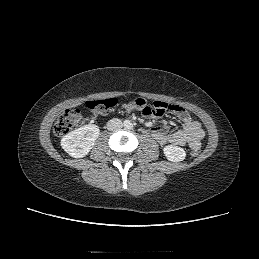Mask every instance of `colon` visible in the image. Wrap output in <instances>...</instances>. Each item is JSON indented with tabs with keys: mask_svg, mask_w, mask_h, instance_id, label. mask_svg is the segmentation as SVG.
I'll list each match as a JSON object with an SVG mask.
<instances>
[{
	"mask_svg": "<svg viewBox=\"0 0 259 259\" xmlns=\"http://www.w3.org/2000/svg\"><path fill=\"white\" fill-rule=\"evenodd\" d=\"M117 104V99L107 98L93 100L86 103V107L91 112L93 118L103 117L107 115ZM173 105L164 102H154L149 104L143 98H137L132 102L124 105L126 111L133 109L138 110L146 117H161L166 110L172 109ZM87 122V119L81 115L78 110H67L57 121L54 132L58 137H62L71 130L76 129ZM200 153L198 148L192 149L191 155L197 157Z\"/></svg>",
	"mask_w": 259,
	"mask_h": 259,
	"instance_id": "5ec220e1",
	"label": "colon"
}]
</instances>
